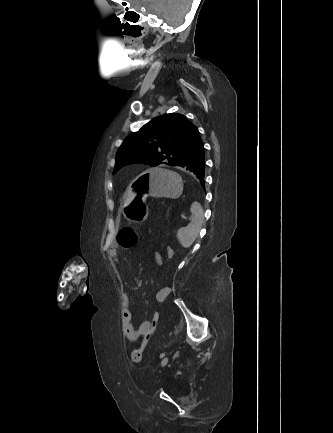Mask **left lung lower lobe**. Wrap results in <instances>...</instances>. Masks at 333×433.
I'll return each instance as SVG.
<instances>
[{
    "mask_svg": "<svg viewBox=\"0 0 333 433\" xmlns=\"http://www.w3.org/2000/svg\"><path fill=\"white\" fill-rule=\"evenodd\" d=\"M178 167L195 175L204 187L205 181V152L204 145L201 143L192 153L183 159Z\"/></svg>",
    "mask_w": 333,
    "mask_h": 433,
    "instance_id": "left-lung-lower-lobe-1",
    "label": "left lung lower lobe"
}]
</instances>
